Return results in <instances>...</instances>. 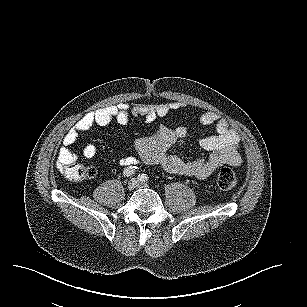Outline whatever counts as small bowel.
I'll list each match as a JSON object with an SVG mask.
<instances>
[{"instance_id": "c3829d8e", "label": "small bowel", "mask_w": 307, "mask_h": 307, "mask_svg": "<svg viewBox=\"0 0 307 307\" xmlns=\"http://www.w3.org/2000/svg\"><path fill=\"white\" fill-rule=\"evenodd\" d=\"M184 106L182 102L137 104L132 107L123 103L88 113L80 118L64 136L63 145L58 153V163L62 165L76 160V155L71 150L72 146L81 133L89 131L94 126H106L113 121L125 125L131 118L139 117L151 122ZM200 122L206 126L215 125V134L204 137L199 142L201 148L208 152L207 156L184 161L170 155L168 150L175 144H183L189 136V131L184 126L174 129L160 126L155 134L139 139L136 143L135 154L120 158L119 164L124 167L134 166L141 162L160 165L168 172L198 179L207 178L224 164L240 166L242 163L239 153L240 137L230 124L211 111L201 114ZM83 155L86 158H93L96 155V147L93 144L86 145Z\"/></svg>"}]
</instances>
